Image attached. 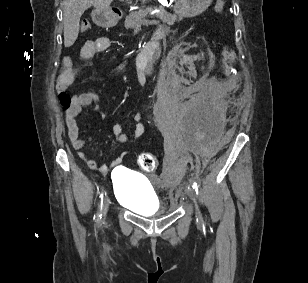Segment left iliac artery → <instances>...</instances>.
Segmentation results:
<instances>
[{
	"mask_svg": "<svg viewBox=\"0 0 308 283\" xmlns=\"http://www.w3.org/2000/svg\"><path fill=\"white\" fill-rule=\"evenodd\" d=\"M192 187L196 191V193L198 194V185H197V183L195 181H193Z\"/></svg>",
	"mask_w": 308,
	"mask_h": 283,
	"instance_id": "44dca946",
	"label": "left iliac artery"
}]
</instances>
